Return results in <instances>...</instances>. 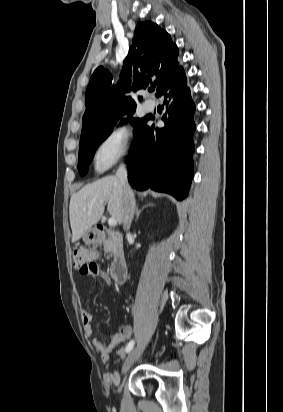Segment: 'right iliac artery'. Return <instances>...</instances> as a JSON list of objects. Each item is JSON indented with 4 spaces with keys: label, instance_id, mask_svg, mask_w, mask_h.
Listing matches in <instances>:
<instances>
[{
    "label": "right iliac artery",
    "instance_id": "obj_1",
    "mask_svg": "<svg viewBox=\"0 0 283 412\" xmlns=\"http://www.w3.org/2000/svg\"><path fill=\"white\" fill-rule=\"evenodd\" d=\"M133 346H134V340H131V341L129 342V344L126 346L125 351H126L127 353H129V352L133 349Z\"/></svg>",
    "mask_w": 283,
    "mask_h": 412
}]
</instances>
